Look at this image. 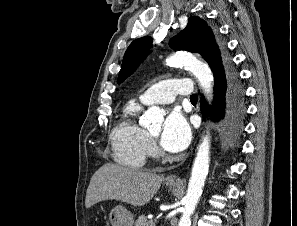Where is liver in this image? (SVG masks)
<instances>
[{
	"label": "liver",
	"mask_w": 297,
	"mask_h": 226,
	"mask_svg": "<svg viewBox=\"0 0 297 226\" xmlns=\"http://www.w3.org/2000/svg\"><path fill=\"white\" fill-rule=\"evenodd\" d=\"M163 179L154 173L106 163L90 180L85 206L90 208L108 199L143 206L157 193Z\"/></svg>",
	"instance_id": "obj_1"
}]
</instances>
